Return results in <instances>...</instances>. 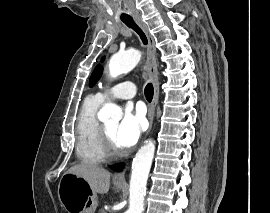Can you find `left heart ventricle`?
<instances>
[{"label": "left heart ventricle", "instance_id": "1", "mask_svg": "<svg viewBox=\"0 0 270 213\" xmlns=\"http://www.w3.org/2000/svg\"><path fill=\"white\" fill-rule=\"evenodd\" d=\"M117 126H118L117 122L104 124V127H105L107 133L109 134L113 144L115 145L116 148L120 149V146L118 145V143L116 142V139H115V132H116Z\"/></svg>", "mask_w": 270, "mask_h": 213}]
</instances>
